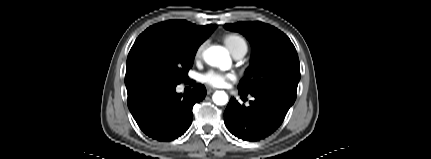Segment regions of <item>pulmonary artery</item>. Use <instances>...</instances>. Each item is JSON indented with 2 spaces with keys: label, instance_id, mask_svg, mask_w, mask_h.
Masks as SVG:
<instances>
[{
  "label": "pulmonary artery",
  "instance_id": "e3ab8cb5",
  "mask_svg": "<svg viewBox=\"0 0 431 159\" xmlns=\"http://www.w3.org/2000/svg\"><path fill=\"white\" fill-rule=\"evenodd\" d=\"M246 51H247L246 48H241L238 51H236L235 53H233V57L235 59H242L245 56Z\"/></svg>",
  "mask_w": 431,
  "mask_h": 159
}]
</instances>
